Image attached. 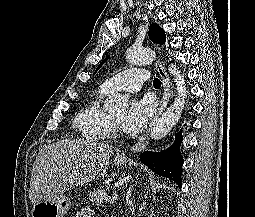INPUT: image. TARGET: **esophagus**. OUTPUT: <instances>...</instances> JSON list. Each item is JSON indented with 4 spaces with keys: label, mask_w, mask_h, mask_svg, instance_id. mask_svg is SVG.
I'll return each mask as SVG.
<instances>
[{
    "label": "esophagus",
    "mask_w": 255,
    "mask_h": 217,
    "mask_svg": "<svg viewBox=\"0 0 255 217\" xmlns=\"http://www.w3.org/2000/svg\"><path fill=\"white\" fill-rule=\"evenodd\" d=\"M155 67L157 69V72L159 74V76L162 79V85H163V94H162V98L160 101V105L159 108L157 110V112L155 113L152 121L150 122L148 128L145 130V132L143 133V135L140 137V139L138 140V142L131 148V151L133 153H137L141 150H143L149 141V135H150V130L152 128L153 123L160 117V115L163 113V111L165 110L168 101H169V97H170V80H169V76L165 70V68L162 66L161 62L159 60H157L155 62ZM120 158H126L125 154H120L119 155Z\"/></svg>",
    "instance_id": "esophagus-1"
}]
</instances>
